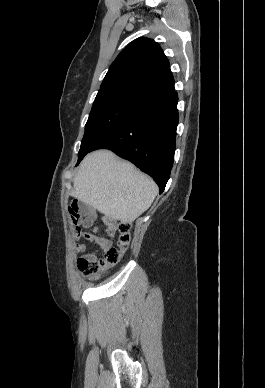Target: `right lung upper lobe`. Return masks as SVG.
<instances>
[{"label": "right lung upper lobe", "instance_id": "right-lung-upper-lobe-1", "mask_svg": "<svg viewBox=\"0 0 265 388\" xmlns=\"http://www.w3.org/2000/svg\"><path fill=\"white\" fill-rule=\"evenodd\" d=\"M173 87L170 65L159 44L138 38L111 64L99 92H125L147 100Z\"/></svg>", "mask_w": 265, "mask_h": 388}]
</instances>
